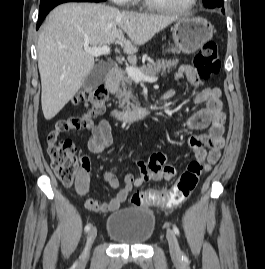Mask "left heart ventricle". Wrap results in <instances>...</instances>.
Listing matches in <instances>:
<instances>
[{
    "label": "left heart ventricle",
    "instance_id": "1",
    "mask_svg": "<svg viewBox=\"0 0 265 269\" xmlns=\"http://www.w3.org/2000/svg\"><path fill=\"white\" fill-rule=\"evenodd\" d=\"M157 1L166 5L177 6V7L185 6L190 2V0H157Z\"/></svg>",
    "mask_w": 265,
    "mask_h": 269
}]
</instances>
